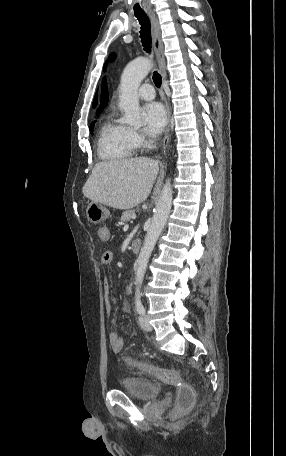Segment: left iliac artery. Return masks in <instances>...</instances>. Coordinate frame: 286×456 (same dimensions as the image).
<instances>
[{"label": "left iliac artery", "mask_w": 286, "mask_h": 456, "mask_svg": "<svg viewBox=\"0 0 286 456\" xmlns=\"http://www.w3.org/2000/svg\"><path fill=\"white\" fill-rule=\"evenodd\" d=\"M135 307H136V311L139 314H142V315L145 314V308L141 301V293L138 290L135 293Z\"/></svg>", "instance_id": "obj_1"}]
</instances>
